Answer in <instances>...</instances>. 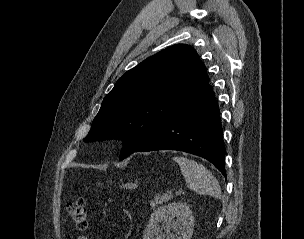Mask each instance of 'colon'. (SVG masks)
<instances>
[{
  "instance_id": "colon-1",
  "label": "colon",
  "mask_w": 304,
  "mask_h": 239,
  "mask_svg": "<svg viewBox=\"0 0 304 239\" xmlns=\"http://www.w3.org/2000/svg\"><path fill=\"white\" fill-rule=\"evenodd\" d=\"M69 217L81 231L88 229L87 206L84 198H78L70 202L67 206Z\"/></svg>"
}]
</instances>
